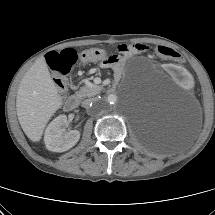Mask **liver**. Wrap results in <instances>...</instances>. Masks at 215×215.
I'll return each instance as SVG.
<instances>
[{"mask_svg":"<svg viewBox=\"0 0 215 215\" xmlns=\"http://www.w3.org/2000/svg\"><path fill=\"white\" fill-rule=\"evenodd\" d=\"M61 105L45 58H39L25 73L17 91L16 111L26 136L33 142L40 141L48 121Z\"/></svg>","mask_w":215,"mask_h":215,"instance_id":"obj_1","label":"liver"}]
</instances>
